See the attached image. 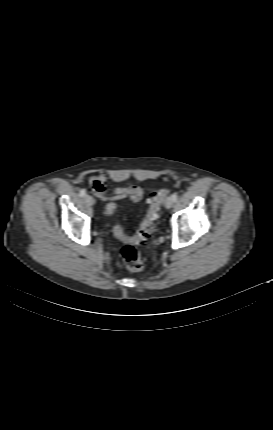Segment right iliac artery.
<instances>
[{
	"instance_id": "82829eb1",
	"label": "right iliac artery",
	"mask_w": 273,
	"mask_h": 430,
	"mask_svg": "<svg viewBox=\"0 0 273 430\" xmlns=\"http://www.w3.org/2000/svg\"><path fill=\"white\" fill-rule=\"evenodd\" d=\"M79 195H80L81 197H85V196H87L85 189H81V190H80V192H79Z\"/></svg>"
}]
</instances>
